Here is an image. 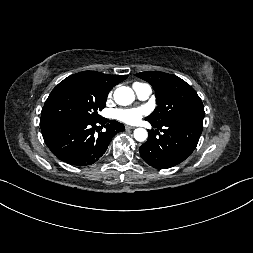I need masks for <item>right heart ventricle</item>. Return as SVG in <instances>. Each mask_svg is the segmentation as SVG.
Segmentation results:
<instances>
[{
    "mask_svg": "<svg viewBox=\"0 0 253 253\" xmlns=\"http://www.w3.org/2000/svg\"><path fill=\"white\" fill-rule=\"evenodd\" d=\"M141 84H142V83L136 82V83L133 84V87H135V86H137V85H141Z\"/></svg>",
    "mask_w": 253,
    "mask_h": 253,
    "instance_id": "obj_1",
    "label": "right heart ventricle"
}]
</instances>
